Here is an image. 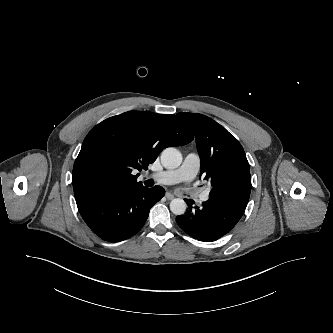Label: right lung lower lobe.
Returning a JSON list of instances; mask_svg holds the SVG:
<instances>
[{
  "label": "right lung lower lobe",
  "mask_w": 333,
  "mask_h": 333,
  "mask_svg": "<svg viewBox=\"0 0 333 333\" xmlns=\"http://www.w3.org/2000/svg\"><path fill=\"white\" fill-rule=\"evenodd\" d=\"M165 194L160 186L133 191L90 190L75 196L78 210L91 230L103 240L118 242L144 226L151 207Z\"/></svg>",
  "instance_id": "right-lung-lower-lobe-1"
}]
</instances>
